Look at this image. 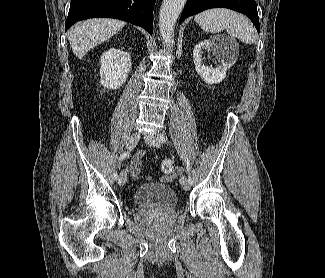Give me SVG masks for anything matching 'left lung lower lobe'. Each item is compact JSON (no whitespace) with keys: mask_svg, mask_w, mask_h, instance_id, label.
Segmentation results:
<instances>
[{"mask_svg":"<svg viewBox=\"0 0 325 278\" xmlns=\"http://www.w3.org/2000/svg\"><path fill=\"white\" fill-rule=\"evenodd\" d=\"M217 7L229 8L245 14L259 32V19L255 0H187V5L180 17V23L189 16Z\"/></svg>","mask_w":325,"mask_h":278,"instance_id":"left-lung-lower-lobe-1","label":"left lung lower lobe"}]
</instances>
